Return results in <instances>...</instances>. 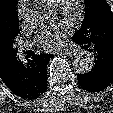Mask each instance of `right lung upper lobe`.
Segmentation results:
<instances>
[{"instance_id":"1","label":"right lung upper lobe","mask_w":113,"mask_h":113,"mask_svg":"<svg viewBox=\"0 0 113 113\" xmlns=\"http://www.w3.org/2000/svg\"><path fill=\"white\" fill-rule=\"evenodd\" d=\"M17 0H0V77L5 79L10 71L15 55L10 46L13 26L17 22Z\"/></svg>"}]
</instances>
